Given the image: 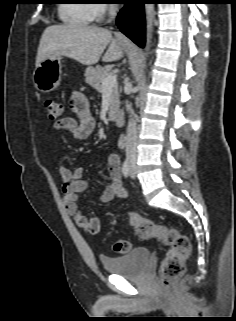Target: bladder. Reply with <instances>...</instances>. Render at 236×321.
Returning <instances> with one entry per match:
<instances>
[{"label": "bladder", "mask_w": 236, "mask_h": 321, "mask_svg": "<svg viewBox=\"0 0 236 321\" xmlns=\"http://www.w3.org/2000/svg\"><path fill=\"white\" fill-rule=\"evenodd\" d=\"M150 251L147 247H136L130 252L116 257H101L104 269L125 278L140 277L149 261Z\"/></svg>", "instance_id": "obj_1"}]
</instances>
